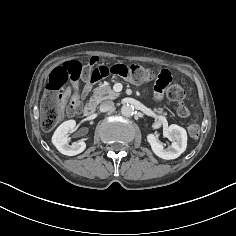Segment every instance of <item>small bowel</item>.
Returning a JSON list of instances; mask_svg holds the SVG:
<instances>
[{
  "mask_svg": "<svg viewBox=\"0 0 236 236\" xmlns=\"http://www.w3.org/2000/svg\"><path fill=\"white\" fill-rule=\"evenodd\" d=\"M91 87H92V84L91 83H87L85 85V87L83 88L82 96H86L88 94V92L90 91ZM155 97H156V99L160 100L162 98V93L159 92V91H156Z\"/></svg>",
  "mask_w": 236,
  "mask_h": 236,
  "instance_id": "1",
  "label": "small bowel"
}]
</instances>
